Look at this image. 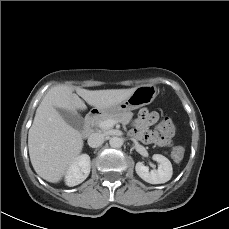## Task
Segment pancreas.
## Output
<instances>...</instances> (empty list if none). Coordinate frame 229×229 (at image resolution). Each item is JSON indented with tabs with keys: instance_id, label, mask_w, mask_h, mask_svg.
<instances>
[{
	"instance_id": "obj_1",
	"label": "pancreas",
	"mask_w": 229,
	"mask_h": 229,
	"mask_svg": "<svg viewBox=\"0 0 229 229\" xmlns=\"http://www.w3.org/2000/svg\"><path fill=\"white\" fill-rule=\"evenodd\" d=\"M132 115L133 114L131 112H122V113L111 114V115H103L96 121V124L99 125L100 122L109 119L115 120L123 124H127L132 118Z\"/></svg>"
}]
</instances>
